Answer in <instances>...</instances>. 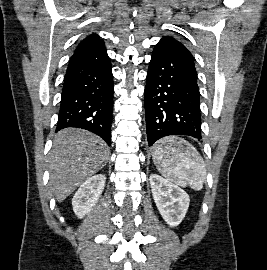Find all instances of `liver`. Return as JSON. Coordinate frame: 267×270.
<instances>
[{"instance_id": "1", "label": "liver", "mask_w": 267, "mask_h": 270, "mask_svg": "<svg viewBox=\"0 0 267 270\" xmlns=\"http://www.w3.org/2000/svg\"><path fill=\"white\" fill-rule=\"evenodd\" d=\"M107 144L95 134L67 128L55 136L49 158L50 188L58 202L71 195L109 159Z\"/></svg>"}]
</instances>
